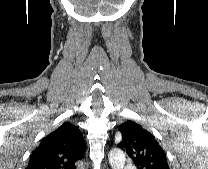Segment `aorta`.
<instances>
[{"mask_svg": "<svg viewBox=\"0 0 208 169\" xmlns=\"http://www.w3.org/2000/svg\"><path fill=\"white\" fill-rule=\"evenodd\" d=\"M109 161L113 169H123L125 154L121 150H112L109 153Z\"/></svg>", "mask_w": 208, "mask_h": 169, "instance_id": "762f6f07", "label": "aorta"}]
</instances>
